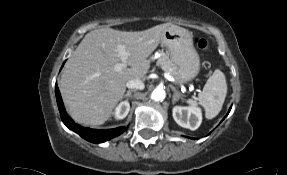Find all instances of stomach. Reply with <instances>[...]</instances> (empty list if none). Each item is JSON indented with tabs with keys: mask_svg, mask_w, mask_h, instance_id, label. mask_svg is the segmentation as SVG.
<instances>
[{
	"mask_svg": "<svg viewBox=\"0 0 287 175\" xmlns=\"http://www.w3.org/2000/svg\"><path fill=\"white\" fill-rule=\"evenodd\" d=\"M161 43L167 48L177 69L176 83L184 84L194 79L200 70V57L193 45L192 34L179 26H170L162 34Z\"/></svg>",
	"mask_w": 287,
	"mask_h": 175,
	"instance_id": "stomach-1",
	"label": "stomach"
}]
</instances>
